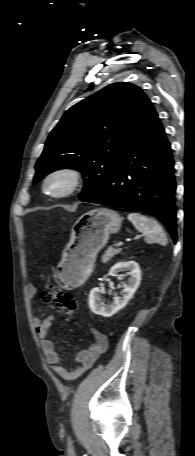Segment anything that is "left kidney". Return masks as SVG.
<instances>
[{
	"label": "left kidney",
	"mask_w": 195,
	"mask_h": 456,
	"mask_svg": "<svg viewBox=\"0 0 195 456\" xmlns=\"http://www.w3.org/2000/svg\"><path fill=\"white\" fill-rule=\"evenodd\" d=\"M122 270H128L131 275L128 279V284L123 283L122 285L124 288L123 297H114L113 302L110 305H104L100 299V293L102 290L98 287L93 288L89 294V307L93 313L103 317H111L120 309L125 307L129 300L133 297L141 281V271L139 265L135 261L119 262L110 269L108 275L117 276V273Z\"/></svg>",
	"instance_id": "5707ae66"
}]
</instances>
